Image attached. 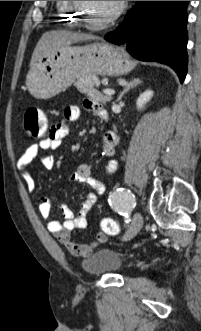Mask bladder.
<instances>
[{"instance_id": "bladder-1", "label": "bladder", "mask_w": 201, "mask_h": 331, "mask_svg": "<svg viewBox=\"0 0 201 331\" xmlns=\"http://www.w3.org/2000/svg\"><path fill=\"white\" fill-rule=\"evenodd\" d=\"M121 256L110 248L93 250L82 261L83 269L91 275L117 274L123 269Z\"/></svg>"}]
</instances>
